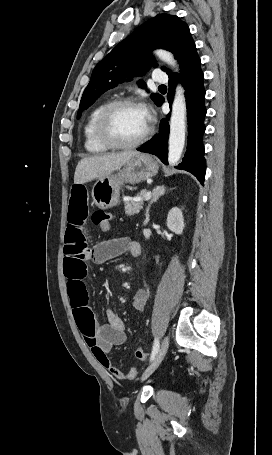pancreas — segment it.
<instances>
[{
  "label": "pancreas",
  "instance_id": "1",
  "mask_svg": "<svg viewBox=\"0 0 272 455\" xmlns=\"http://www.w3.org/2000/svg\"><path fill=\"white\" fill-rule=\"evenodd\" d=\"M145 195H146V190H142L138 194V197L140 198V200H138V201H127L125 203V214L127 216L135 215L143 208Z\"/></svg>",
  "mask_w": 272,
  "mask_h": 455
}]
</instances>
